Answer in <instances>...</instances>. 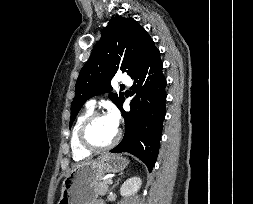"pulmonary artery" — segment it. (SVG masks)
<instances>
[{
	"mask_svg": "<svg viewBox=\"0 0 253 204\" xmlns=\"http://www.w3.org/2000/svg\"><path fill=\"white\" fill-rule=\"evenodd\" d=\"M118 83L121 85H130L131 84V79L128 75L126 74H121L118 80ZM96 98H91L87 101L86 106L89 108L94 109L96 106Z\"/></svg>",
	"mask_w": 253,
	"mask_h": 204,
	"instance_id": "e3ab8cb5",
	"label": "pulmonary artery"
}]
</instances>
